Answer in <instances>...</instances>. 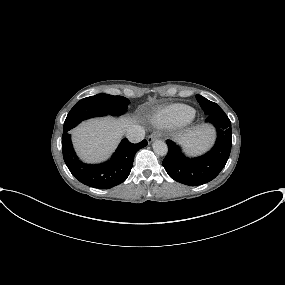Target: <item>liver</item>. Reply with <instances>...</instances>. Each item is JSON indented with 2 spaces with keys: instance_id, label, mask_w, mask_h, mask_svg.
Instances as JSON below:
<instances>
[{
  "instance_id": "1",
  "label": "liver",
  "mask_w": 285,
  "mask_h": 285,
  "mask_svg": "<svg viewBox=\"0 0 285 285\" xmlns=\"http://www.w3.org/2000/svg\"><path fill=\"white\" fill-rule=\"evenodd\" d=\"M130 126H133V122L129 118L91 119L73 129L71 134L79 156L93 163L108 158L118 146L123 132ZM181 140L192 146H201L209 142L210 134L208 130L194 129L181 136Z\"/></svg>"
}]
</instances>
